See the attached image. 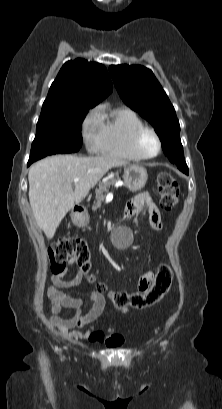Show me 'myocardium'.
<instances>
[{"mask_svg":"<svg viewBox=\"0 0 222 409\" xmlns=\"http://www.w3.org/2000/svg\"><path fill=\"white\" fill-rule=\"evenodd\" d=\"M145 133H151L153 134V136L155 137L157 144H158V149L157 152L153 155H147L146 153H144L142 147H141V139L143 137V135ZM132 146L134 151L142 158L145 160H149V159H154L157 156H159V154L162 151V141L161 138L158 134V132L152 128V127H148V126H143L141 128H139L133 135L132 138Z\"/></svg>","mask_w":222,"mask_h":409,"instance_id":"f54148a6","label":"myocardium"}]
</instances>
